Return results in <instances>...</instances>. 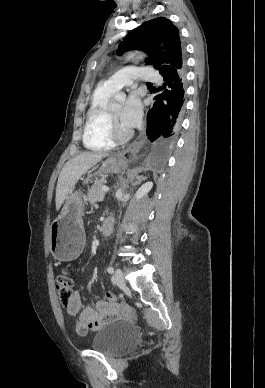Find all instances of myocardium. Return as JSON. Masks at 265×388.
Returning <instances> with one entry per match:
<instances>
[{
    "mask_svg": "<svg viewBox=\"0 0 265 388\" xmlns=\"http://www.w3.org/2000/svg\"><path fill=\"white\" fill-rule=\"evenodd\" d=\"M115 90V89H114ZM107 90L106 87L100 88L97 91H111ZM106 128L109 136L116 141H123L128 139L132 132L130 129L121 124L108 110L106 114Z\"/></svg>",
    "mask_w": 265,
    "mask_h": 388,
    "instance_id": "1",
    "label": "myocardium"
}]
</instances>
